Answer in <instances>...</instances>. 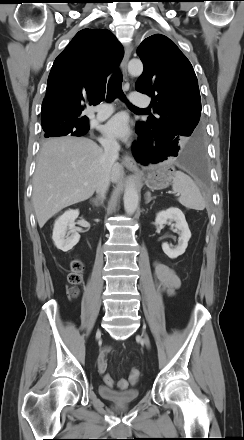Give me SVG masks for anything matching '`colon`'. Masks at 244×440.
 <instances>
[{
    "mask_svg": "<svg viewBox=\"0 0 244 440\" xmlns=\"http://www.w3.org/2000/svg\"><path fill=\"white\" fill-rule=\"evenodd\" d=\"M83 270H84V265L80 260L75 259L70 263V269L67 276V280L69 284L72 286L71 289L72 296L76 295L77 293L75 287L79 285L82 281ZM138 380H139V371L137 369H133L130 374V381L132 384H136ZM104 382L109 387H113L116 385L117 388L121 390L127 389L129 385L128 381L124 378H121L117 382H115V380L110 374H105Z\"/></svg>",
    "mask_w": 244,
    "mask_h": 440,
    "instance_id": "1",
    "label": "colon"
}]
</instances>
